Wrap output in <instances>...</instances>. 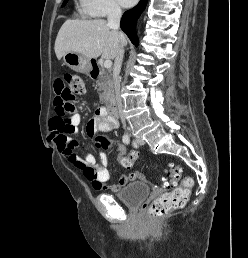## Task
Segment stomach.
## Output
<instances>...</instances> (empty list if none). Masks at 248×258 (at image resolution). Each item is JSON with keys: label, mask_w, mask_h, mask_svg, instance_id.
Listing matches in <instances>:
<instances>
[{"label": "stomach", "mask_w": 248, "mask_h": 258, "mask_svg": "<svg viewBox=\"0 0 248 258\" xmlns=\"http://www.w3.org/2000/svg\"><path fill=\"white\" fill-rule=\"evenodd\" d=\"M64 63L78 73L89 74L92 71L91 59L76 52H66L63 56Z\"/></svg>", "instance_id": "1"}]
</instances>
